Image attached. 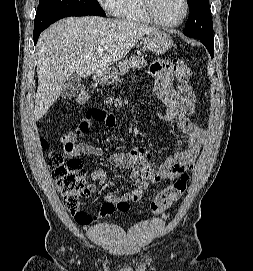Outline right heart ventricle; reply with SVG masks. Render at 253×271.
I'll return each instance as SVG.
<instances>
[{
  "label": "right heart ventricle",
  "instance_id": "right-heart-ventricle-1",
  "mask_svg": "<svg viewBox=\"0 0 253 271\" xmlns=\"http://www.w3.org/2000/svg\"><path fill=\"white\" fill-rule=\"evenodd\" d=\"M114 13L117 17L126 21L154 23L144 9L143 0H119Z\"/></svg>",
  "mask_w": 253,
  "mask_h": 271
}]
</instances>
